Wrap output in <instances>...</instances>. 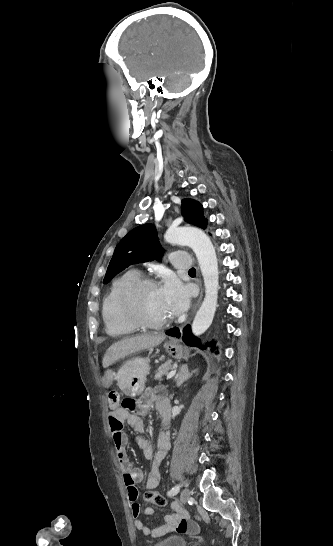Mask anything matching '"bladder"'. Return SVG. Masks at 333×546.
<instances>
[{"label": "bladder", "instance_id": "31cf9c89", "mask_svg": "<svg viewBox=\"0 0 333 546\" xmlns=\"http://www.w3.org/2000/svg\"><path fill=\"white\" fill-rule=\"evenodd\" d=\"M154 546H186V541L183 536L172 535L157 541Z\"/></svg>", "mask_w": 333, "mask_h": 546}]
</instances>
